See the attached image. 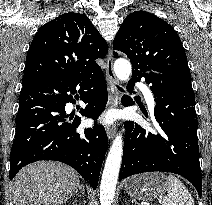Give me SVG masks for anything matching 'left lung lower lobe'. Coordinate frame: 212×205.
<instances>
[{
    "label": "left lung lower lobe",
    "instance_id": "1",
    "mask_svg": "<svg viewBox=\"0 0 212 205\" xmlns=\"http://www.w3.org/2000/svg\"><path fill=\"white\" fill-rule=\"evenodd\" d=\"M141 78L151 85L156 101L154 116L159 126L150 132L132 121L125 123L119 180L143 172H172L190 181L201 196L197 116L191 81L167 73L143 72L132 76L131 92L133 83Z\"/></svg>",
    "mask_w": 212,
    "mask_h": 205
}]
</instances>
